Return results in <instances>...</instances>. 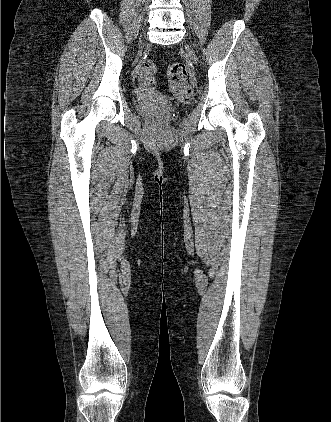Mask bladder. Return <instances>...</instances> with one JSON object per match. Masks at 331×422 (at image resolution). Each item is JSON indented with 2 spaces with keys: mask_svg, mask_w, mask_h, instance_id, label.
<instances>
[{
  "mask_svg": "<svg viewBox=\"0 0 331 422\" xmlns=\"http://www.w3.org/2000/svg\"><path fill=\"white\" fill-rule=\"evenodd\" d=\"M154 99V97H145L144 98V101H151V100H153Z\"/></svg>",
  "mask_w": 331,
  "mask_h": 422,
  "instance_id": "31cf9c89",
  "label": "bladder"
}]
</instances>
